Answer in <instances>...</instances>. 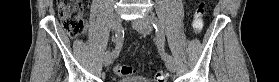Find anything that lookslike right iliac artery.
Listing matches in <instances>:
<instances>
[{"label": "right iliac artery", "mask_w": 279, "mask_h": 82, "mask_svg": "<svg viewBox=\"0 0 279 82\" xmlns=\"http://www.w3.org/2000/svg\"><path fill=\"white\" fill-rule=\"evenodd\" d=\"M121 34H122V28L120 27L117 31H116V34H115V37H114V42H116V47L115 49L113 50V52L111 53L112 54V57L115 59L117 58V56L119 55L120 51H121V48H122V44L120 42V37H121Z\"/></svg>", "instance_id": "82829eb1"}]
</instances>
